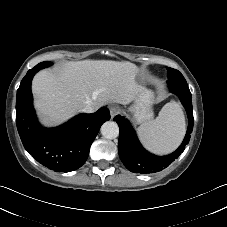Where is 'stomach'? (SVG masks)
<instances>
[{
  "label": "stomach",
  "mask_w": 227,
  "mask_h": 227,
  "mask_svg": "<svg viewBox=\"0 0 227 227\" xmlns=\"http://www.w3.org/2000/svg\"><path fill=\"white\" fill-rule=\"evenodd\" d=\"M137 83L142 87V90L134 100L135 104L130 108V111L134 113L136 121L142 123L153 117V112L151 110L153 94L143 86V81L141 79H139Z\"/></svg>",
  "instance_id": "0dacf381"
}]
</instances>
